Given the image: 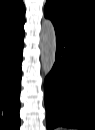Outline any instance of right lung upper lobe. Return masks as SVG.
Instances as JSON below:
<instances>
[{"label": "right lung upper lobe", "mask_w": 95, "mask_h": 130, "mask_svg": "<svg viewBox=\"0 0 95 130\" xmlns=\"http://www.w3.org/2000/svg\"><path fill=\"white\" fill-rule=\"evenodd\" d=\"M25 23L23 0H0V39L21 31Z\"/></svg>", "instance_id": "1"}]
</instances>
